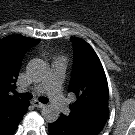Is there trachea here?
I'll return each mask as SVG.
<instances>
[{"mask_svg":"<svg viewBox=\"0 0 135 135\" xmlns=\"http://www.w3.org/2000/svg\"><path fill=\"white\" fill-rule=\"evenodd\" d=\"M14 94H15V96H18V97H20V98H22L24 100H31V98H32V95L30 93H18V92H15ZM39 101L41 103L46 104V103L49 102V99L46 98V97H40Z\"/></svg>","mask_w":135,"mask_h":135,"instance_id":"1","label":"trachea"}]
</instances>
